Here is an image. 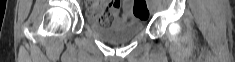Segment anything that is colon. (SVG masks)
<instances>
[{
    "label": "colon",
    "mask_w": 235,
    "mask_h": 62,
    "mask_svg": "<svg viewBox=\"0 0 235 62\" xmlns=\"http://www.w3.org/2000/svg\"><path fill=\"white\" fill-rule=\"evenodd\" d=\"M134 15L140 18L148 17V9L144 0L134 1ZM99 23L108 26L112 23V18L107 6L103 3L100 9Z\"/></svg>",
    "instance_id": "colon-1"
}]
</instances>
